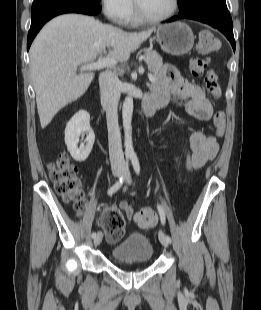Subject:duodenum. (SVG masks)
<instances>
[{
    "mask_svg": "<svg viewBox=\"0 0 261 310\" xmlns=\"http://www.w3.org/2000/svg\"><path fill=\"white\" fill-rule=\"evenodd\" d=\"M164 104L165 101L163 99L153 95H148L142 103V108L147 116H151L155 113L157 109L162 107Z\"/></svg>",
    "mask_w": 261,
    "mask_h": 310,
    "instance_id": "410a0bca",
    "label": "duodenum"
}]
</instances>
